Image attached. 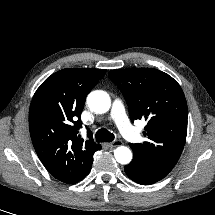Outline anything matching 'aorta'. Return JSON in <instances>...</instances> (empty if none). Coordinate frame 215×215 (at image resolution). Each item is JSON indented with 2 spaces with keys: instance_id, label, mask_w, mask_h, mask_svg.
Returning <instances> with one entry per match:
<instances>
[{
  "instance_id": "obj_1",
  "label": "aorta",
  "mask_w": 215,
  "mask_h": 215,
  "mask_svg": "<svg viewBox=\"0 0 215 215\" xmlns=\"http://www.w3.org/2000/svg\"><path fill=\"white\" fill-rule=\"evenodd\" d=\"M89 108L95 113H106L111 105L109 95L100 90L92 91L87 97ZM115 159L120 164H128L132 159V152L128 147L120 146L114 152Z\"/></svg>"
}]
</instances>
